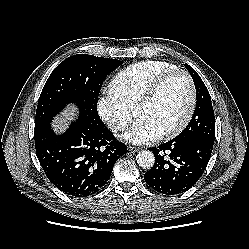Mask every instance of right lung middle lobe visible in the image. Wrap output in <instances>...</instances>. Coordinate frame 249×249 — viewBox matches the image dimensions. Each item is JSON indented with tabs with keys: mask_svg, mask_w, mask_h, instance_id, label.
<instances>
[{
	"mask_svg": "<svg viewBox=\"0 0 249 249\" xmlns=\"http://www.w3.org/2000/svg\"><path fill=\"white\" fill-rule=\"evenodd\" d=\"M116 59L77 54L60 63L46 81L35 117V129L50 125L67 104L79 108V118L95 127H104L97 112V99L107 74L120 66Z\"/></svg>",
	"mask_w": 249,
	"mask_h": 249,
	"instance_id": "right-lung-middle-lobe-1",
	"label": "right lung middle lobe"
}]
</instances>
